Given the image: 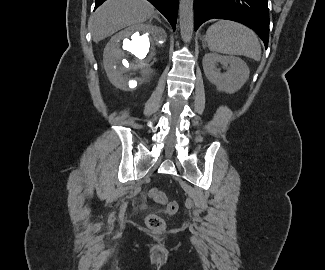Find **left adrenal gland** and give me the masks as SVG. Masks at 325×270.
Here are the masks:
<instances>
[{"instance_id": "1", "label": "left adrenal gland", "mask_w": 325, "mask_h": 270, "mask_svg": "<svg viewBox=\"0 0 325 270\" xmlns=\"http://www.w3.org/2000/svg\"><path fill=\"white\" fill-rule=\"evenodd\" d=\"M206 41H205V39L203 40V48H206Z\"/></svg>"}]
</instances>
